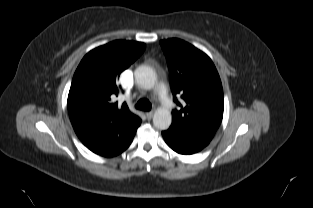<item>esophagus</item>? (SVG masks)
Instances as JSON below:
<instances>
[{
  "mask_svg": "<svg viewBox=\"0 0 313 208\" xmlns=\"http://www.w3.org/2000/svg\"><path fill=\"white\" fill-rule=\"evenodd\" d=\"M145 115L148 120H151L154 115V111L152 110V111L146 112Z\"/></svg>",
  "mask_w": 313,
  "mask_h": 208,
  "instance_id": "esophagus-1",
  "label": "esophagus"
}]
</instances>
